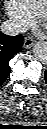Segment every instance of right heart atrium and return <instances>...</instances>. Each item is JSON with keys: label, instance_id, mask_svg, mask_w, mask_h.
I'll return each instance as SVG.
<instances>
[{"label": "right heart atrium", "instance_id": "right-heart-atrium-1", "mask_svg": "<svg viewBox=\"0 0 47 129\" xmlns=\"http://www.w3.org/2000/svg\"><path fill=\"white\" fill-rule=\"evenodd\" d=\"M4 8L15 31H23L34 20V16L27 11L19 0H6Z\"/></svg>", "mask_w": 47, "mask_h": 129}]
</instances>
